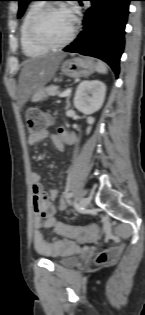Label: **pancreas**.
I'll return each instance as SVG.
<instances>
[{
	"label": "pancreas",
	"mask_w": 145,
	"mask_h": 315,
	"mask_svg": "<svg viewBox=\"0 0 145 315\" xmlns=\"http://www.w3.org/2000/svg\"><path fill=\"white\" fill-rule=\"evenodd\" d=\"M59 87L51 85L44 89L43 98H47L49 96L60 95Z\"/></svg>",
	"instance_id": "pancreas-1"
}]
</instances>
